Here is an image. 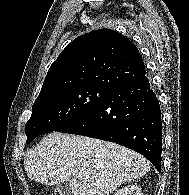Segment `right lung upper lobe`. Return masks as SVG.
Returning a JSON list of instances; mask_svg holds the SVG:
<instances>
[{
	"label": "right lung upper lobe",
	"instance_id": "1",
	"mask_svg": "<svg viewBox=\"0 0 189 195\" xmlns=\"http://www.w3.org/2000/svg\"><path fill=\"white\" fill-rule=\"evenodd\" d=\"M144 73L140 53L127 37L99 29L67 45L49 68L39 96L75 87L112 90Z\"/></svg>",
	"mask_w": 189,
	"mask_h": 195
}]
</instances>
